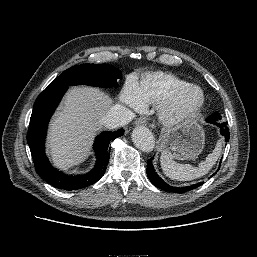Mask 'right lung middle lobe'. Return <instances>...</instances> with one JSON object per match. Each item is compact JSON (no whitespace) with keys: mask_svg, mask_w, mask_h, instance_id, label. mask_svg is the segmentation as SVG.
Returning <instances> with one entry per match:
<instances>
[{"mask_svg":"<svg viewBox=\"0 0 257 257\" xmlns=\"http://www.w3.org/2000/svg\"><path fill=\"white\" fill-rule=\"evenodd\" d=\"M122 73L106 64H81L73 66L54 79L45 90L73 85L114 87Z\"/></svg>","mask_w":257,"mask_h":257,"instance_id":"obj_1","label":"right lung middle lobe"}]
</instances>
